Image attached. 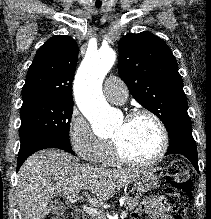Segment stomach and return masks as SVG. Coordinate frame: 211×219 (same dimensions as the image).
Masks as SVG:
<instances>
[{"label": "stomach", "instance_id": "stomach-1", "mask_svg": "<svg viewBox=\"0 0 211 219\" xmlns=\"http://www.w3.org/2000/svg\"><path fill=\"white\" fill-rule=\"evenodd\" d=\"M158 176L151 169H142L137 179L134 181V189L138 192H147L155 188L158 184Z\"/></svg>", "mask_w": 211, "mask_h": 219}]
</instances>
